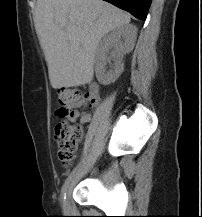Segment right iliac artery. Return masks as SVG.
Here are the masks:
<instances>
[{"instance_id":"1","label":"right iliac artery","mask_w":202,"mask_h":217,"mask_svg":"<svg viewBox=\"0 0 202 217\" xmlns=\"http://www.w3.org/2000/svg\"><path fill=\"white\" fill-rule=\"evenodd\" d=\"M73 173H74V172H72V173L67 177V179L65 180L64 185L62 186V189H61V201H62V202H63L64 199L66 198V191H67V188H68L69 183H70V181H71V177H72V174H73Z\"/></svg>"}]
</instances>
